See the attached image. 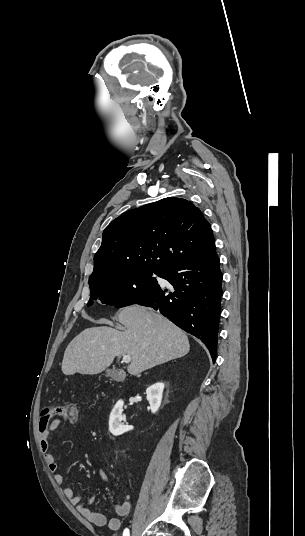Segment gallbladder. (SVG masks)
<instances>
[{
    "instance_id": "1",
    "label": "gallbladder",
    "mask_w": 305,
    "mask_h": 536,
    "mask_svg": "<svg viewBox=\"0 0 305 536\" xmlns=\"http://www.w3.org/2000/svg\"><path fill=\"white\" fill-rule=\"evenodd\" d=\"M119 372L117 370H106V376H110L113 380H117Z\"/></svg>"
}]
</instances>
